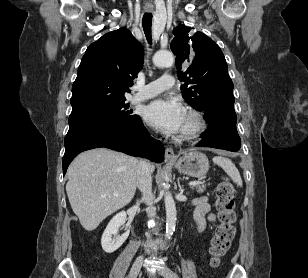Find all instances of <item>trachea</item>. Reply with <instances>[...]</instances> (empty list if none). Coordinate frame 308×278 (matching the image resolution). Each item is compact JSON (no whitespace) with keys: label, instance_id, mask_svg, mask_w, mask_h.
Instances as JSON below:
<instances>
[{"label":"trachea","instance_id":"obj_1","mask_svg":"<svg viewBox=\"0 0 308 278\" xmlns=\"http://www.w3.org/2000/svg\"><path fill=\"white\" fill-rule=\"evenodd\" d=\"M151 25H152V14L151 13H145L142 19V26L144 33L146 35V38L148 42L151 44Z\"/></svg>","mask_w":308,"mask_h":278}]
</instances>
